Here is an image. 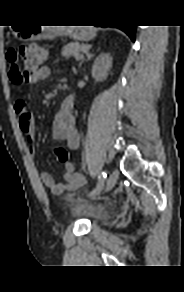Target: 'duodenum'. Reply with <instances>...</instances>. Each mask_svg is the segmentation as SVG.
I'll list each match as a JSON object with an SVG mask.
<instances>
[{"mask_svg":"<svg viewBox=\"0 0 184 292\" xmlns=\"http://www.w3.org/2000/svg\"><path fill=\"white\" fill-rule=\"evenodd\" d=\"M65 102H66L67 104H71V103H72V97H67V98L65 99Z\"/></svg>","mask_w":184,"mask_h":292,"instance_id":"duodenum-1","label":"duodenum"}]
</instances>
